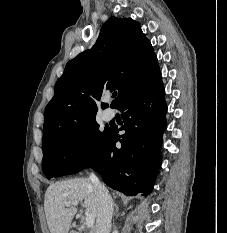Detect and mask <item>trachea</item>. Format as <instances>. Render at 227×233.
<instances>
[{"label": "trachea", "instance_id": "1", "mask_svg": "<svg viewBox=\"0 0 227 233\" xmlns=\"http://www.w3.org/2000/svg\"><path fill=\"white\" fill-rule=\"evenodd\" d=\"M116 96H117V93H116V92L112 94V97H113V98H115Z\"/></svg>", "mask_w": 227, "mask_h": 233}]
</instances>
